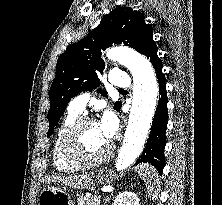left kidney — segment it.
I'll use <instances>...</instances> for the list:
<instances>
[{"label": "left kidney", "mask_w": 222, "mask_h": 205, "mask_svg": "<svg viewBox=\"0 0 222 205\" xmlns=\"http://www.w3.org/2000/svg\"><path fill=\"white\" fill-rule=\"evenodd\" d=\"M113 205H140V203L135 193L122 192L115 198Z\"/></svg>", "instance_id": "left-kidney-1"}]
</instances>
